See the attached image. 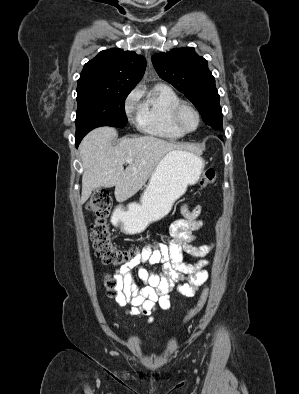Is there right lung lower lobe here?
<instances>
[{"mask_svg":"<svg viewBox=\"0 0 299 394\" xmlns=\"http://www.w3.org/2000/svg\"><path fill=\"white\" fill-rule=\"evenodd\" d=\"M84 136H85V135H83V134H77V133H76V136H75V138H76V142H75L76 147L78 146V144L80 143V141L82 140V138H83Z\"/></svg>","mask_w":299,"mask_h":394,"instance_id":"obj_1","label":"right lung lower lobe"}]
</instances>
